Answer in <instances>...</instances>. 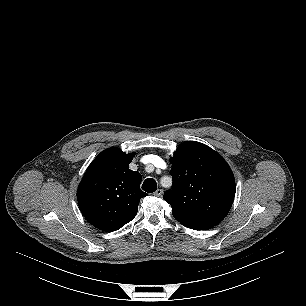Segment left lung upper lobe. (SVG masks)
Listing matches in <instances>:
<instances>
[{
  "mask_svg": "<svg viewBox=\"0 0 306 306\" xmlns=\"http://www.w3.org/2000/svg\"><path fill=\"white\" fill-rule=\"evenodd\" d=\"M172 189L164 200L182 225L207 230L228 214L235 196V179L226 161L195 141L179 145L171 158Z\"/></svg>",
  "mask_w": 306,
  "mask_h": 306,
  "instance_id": "obj_1",
  "label": "left lung upper lobe"
}]
</instances>
